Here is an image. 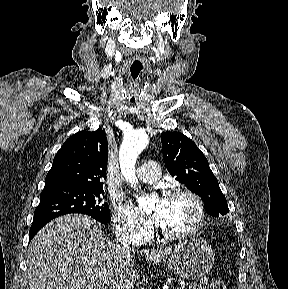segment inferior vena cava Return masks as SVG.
Segmentation results:
<instances>
[{"label":"inferior vena cava","mask_w":288,"mask_h":289,"mask_svg":"<svg viewBox=\"0 0 288 289\" xmlns=\"http://www.w3.org/2000/svg\"><path fill=\"white\" fill-rule=\"evenodd\" d=\"M118 250L121 252H129L132 250V248L129 246L127 241L119 240V243L117 244Z\"/></svg>","instance_id":"602c4592"}]
</instances>
